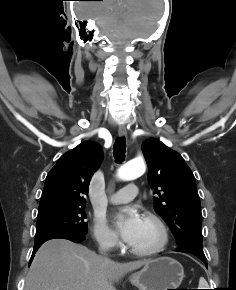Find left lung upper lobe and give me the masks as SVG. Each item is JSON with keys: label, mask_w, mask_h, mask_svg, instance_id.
I'll use <instances>...</instances> for the list:
<instances>
[{"label": "left lung upper lobe", "mask_w": 236, "mask_h": 290, "mask_svg": "<svg viewBox=\"0 0 236 290\" xmlns=\"http://www.w3.org/2000/svg\"><path fill=\"white\" fill-rule=\"evenodd\" d=\"M148 181L155 188L154 210L171 229L179 249L206 259L202 249L201 204L195 177L182 156L151 138L142 143Z\"/></svg>", "instance_id": "1"}]
</instances>
